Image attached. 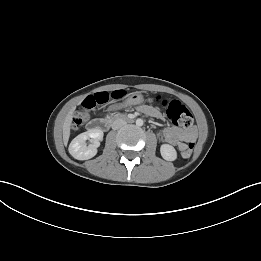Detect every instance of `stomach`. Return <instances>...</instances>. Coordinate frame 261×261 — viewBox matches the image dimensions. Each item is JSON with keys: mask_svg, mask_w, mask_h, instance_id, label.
<instances>
[{"mask_svg": "<svg viewBox=\"0 0 261 261\" xmlns=\"http://www.w3.org/2000/svg\"><path fill=\"white\" fill-rule=\"evenodd\" d=\"M144 101V97L140 93H134L132 94L128 99H126L124 105L125 106H131V105H137Z\"/></svg>", "mask_w": 261, "mask_h": 261, "instance_id": "0dacf381", "label": "stomach"}]
</instances>
